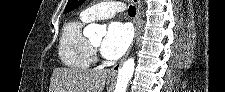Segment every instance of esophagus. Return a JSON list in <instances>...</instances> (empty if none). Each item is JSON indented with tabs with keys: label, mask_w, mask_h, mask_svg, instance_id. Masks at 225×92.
I'll list each match as a JSON object with an SVG mask.
<instances>
[{
	"label": "esophagus",
	"mask_w": 225,
	"mask_h": 92,
	"mask_svg": "<svg viewBox=\"0 0 225 92\" xmlns=\"http://www.w3.org/2000/svg\"><path fill=\"white\" fill-rule=\"evenodd\" d=\"M133 4L136 6V17L134 20V25H135V36H134V41L132 43V45L129 47L126 55L120 60V62H118L117 64H115L110 70H109V74L112 76L117 75V73L119 72V70L121 69L124 61L126 60V58L128 57V55L130 54L132 47L135 43V41L137 40L139 33H140V21H141V1L140 0H132Z\"/></svg>",
	"instance_id": "esophagus-1"
}]
</instances>
